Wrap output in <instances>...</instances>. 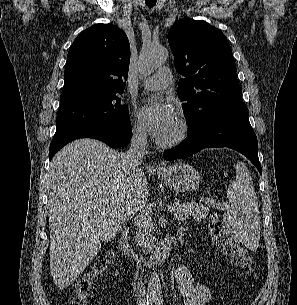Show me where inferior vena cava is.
<instances>
[{
    "instance_id": "1",
    "label": "inferior vena cava",
    "mask_w": 297,
    "mask_h": 305,
    "mask_svg": "<svg viewBox=\"0 0 297 305\" xmlns=\"http://www.w3.org/2000/svg\"><path fill=\"white\" fill-rule=\"evenodd\" d=\"M147 144V135L144 130L138 129L133 133L131 138L130 148L124 154L123 162L128 169V171L135 175L141 172L140 164L145 155V148ZM142 206L141 201H133L130 208L137 212ZM137 299L139 303H144L146 301V289L142 282V273L137 274Z\"/></svg>"
}]
</instances>
